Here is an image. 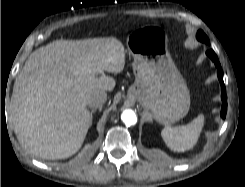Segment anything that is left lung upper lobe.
<instances>
[{
  "mask_svg": "<svg viewBox=\"0 0 245 187\" xmlns=\"http://www.w3.org/2000/svg\"><path fill=\"white\" fill-rule=\"evenodd\" d=\"M197 39L201 42H204V43H207L209 44V39L208 37L206 36V34L202 31V30H199L198 33H197Z\"/></svg>",
  "mask_w": 245,
  "mask_h": 187,
  "instance_id": "5c2ea615",
  "label": "left lung upper lobe"
}]
</instances>
